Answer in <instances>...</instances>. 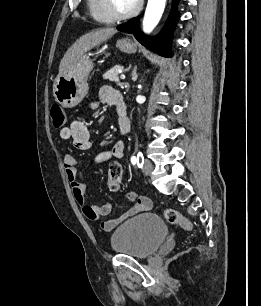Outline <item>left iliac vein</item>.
Listing matches in <instances>:
<instances>
[{"label": "left iliac vein", "mask_w": 261, "mask_h": 306, "mask_svg": "<svg viewBox=\"0 0 261 306\" xmlns=\"http://www.w3.org/2000/svg\"><path fill=\"white\" fill-rule=\"evenodd\" d=\"M153 170V165L149 160H145L143 165V172L146 176H149Z\"/></svg>", "instance_id": "obj_1"}]
</instances>
